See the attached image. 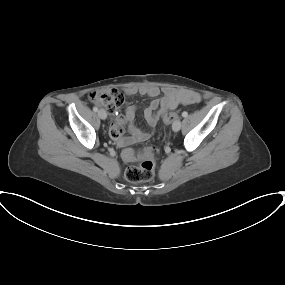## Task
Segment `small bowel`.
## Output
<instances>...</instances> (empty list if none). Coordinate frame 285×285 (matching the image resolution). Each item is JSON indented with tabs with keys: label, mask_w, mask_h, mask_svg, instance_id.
Wrapping results in <instances>:
<instances>
[{
	"label": "small bowel",
	"mask_w": 285,
	"mask_h": 285,
	"mask_svg": "<svg viewBox=\"0 0 285 285\" xmlns=\"http://www.w3.org/2000/svg\"><path fill=\"white\" fill-rule=\"evenodd\" d=\"M128 95L141 94L150 97L152 100L144 109V118L151 127H156L164 113L168 110L175 109L178 105H190L200 102L201 97L198 93L188 90H178L167 88L162 96L161 90L157 86H144L141 88L131 87L126 90ZM122 97V103L125 106V115L117 116L114 123L110 127V132L113 130H122L127 127L130 136L127 138H114L118 140L120 145H131L136 142L146 141L150 137V133L138 128L135 124L137 108L135 105L128 104Z\"/></svg>",
	"instance_id": "c3829d8e"
}]
</instances>
